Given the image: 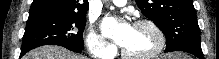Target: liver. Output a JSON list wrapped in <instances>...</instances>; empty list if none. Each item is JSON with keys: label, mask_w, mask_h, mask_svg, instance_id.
Returning <instances> with one entry per match:
<instances>
[{"label": "liver", "mask_w": 219, "mask_h": 59, "mask_svg": "<svg viewBox=\"0 0 219 59\" xmlns=\"http://www.w3.org/2000/svg\"><path fill=\"white\" fill-rule=\"evenodd\" d=\"M23 59H87L59 46H42L28 52Z\"/></svg>", "instance_id": "6515ba94"}]
</instances>
